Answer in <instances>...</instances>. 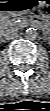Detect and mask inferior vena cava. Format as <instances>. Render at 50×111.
<instances>
[{"label":"inferior vena cava","mask_w":50,"mask_h":111,"mask_svg":"<svg viewBox=\"0 0 50 111\" xmlns=\"http://www.w3.org/2000/svg\"><path fill=\"white\" fill-rule=\"evenodd\" d=\"M19 35H20V33L18 31H15V30L7 31L4 33V37L7 40L17 38V37H19Z\"/></svg>","instance_id":"1"}]
</instances>
